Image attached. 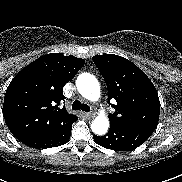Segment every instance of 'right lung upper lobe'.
<instances>
[{
	"label": "right lung upper lobe",
	"instance_id": "cb5924a9",
	"mask_svg": "<svg viewBox=\"0 0 182 182\" xmlns=\"http://www.w3.org/2000/svg\"><path fill=\"white\" fill-rule=\"evenodd\" d=\"M85 61L72 55L51 53L24 67L10 82L3 103V117L21 142L46 134L77 120L65 107L63 87Z\"/></svg>",
	"mask_w": 182,
	"mask_h": 182
}]
</instances>
